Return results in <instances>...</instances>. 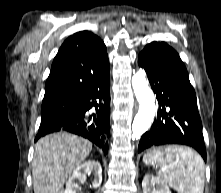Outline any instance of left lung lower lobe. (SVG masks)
<instances>
[{
  "label": "left lung lower lobe",
  "instance_id": "obj_1",
  "mask_svg": "<svg viewBox=\"0 0 221 193\" xmlns=\"http://www.w3.org/2000/svg\"><path fill=\"white\" fill-rule=\"evenodd\" d=\"M138 63L159 101L157 119L141 137L138 152L159 145H186L206 161L196 94L178 53L166 44L152 42L139 54Z\"/></svg>",
  "mask_w": 221,
  "mask_h": 193
}]
</instances>
